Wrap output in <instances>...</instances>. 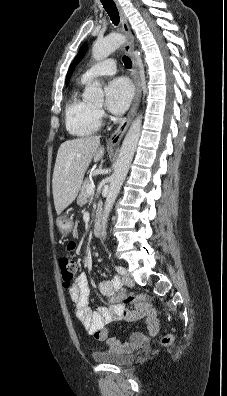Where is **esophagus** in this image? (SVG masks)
I'll return each instance as SVG.
<instances>
[{"label": "esophagus", "mask_w": 227, "mask_h": 396, "mask_svg": "<svg viewBox=\"0 0 227 396\" xmlns=\"http://www.w3.org/2000/svg\"><path fill=\"white\" fill-rule=\"evenodd\" d=\"M115 5L117 7V10L120 15V20H121V27H122V32L124 33V36L126 38V42L124 45V52L131 58L132 60V77L135 85V95L133 99L132 106L127 114V116L121 121L117 129L114 131V133L111 135L109 138V144L111 145H116L118 144L125 132L127 131L132 119L134 118L137 109L139 107L140 103V98H141V82L139 78V71H138V65L136 62V59L133 56V35L130 29V25L128 23V19L123 11V8L121 7L120 3L118 0H114Z\"/></svg>", "instance_id": "1"}]
</instances>
